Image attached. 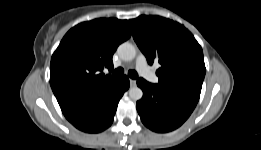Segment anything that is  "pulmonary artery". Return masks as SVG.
<instances>
[{
    "mask_svg": "<svg viewBox=\"0 0 261 150\" xmlns=\"http://www.w3.org/2000/svg\"><path fill=\"white\" fill-rule=\"evenodd\" d=\"M136 68L139 71V73L146 78L148 81L157 83L158 77L156 74L149 68L147 65L146 58L143 54H139L136 59Z\"/></svg>",
    "mask_w": 261,
    "mask_h": 150,
    "instance_id": "1",
    "label": "pulmonary artery"
}]
</instances>
